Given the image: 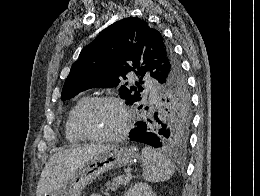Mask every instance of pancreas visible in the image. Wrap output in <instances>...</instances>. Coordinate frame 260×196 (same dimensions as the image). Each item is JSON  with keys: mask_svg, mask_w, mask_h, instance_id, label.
Listing matches in <instances>:
<instances>
[{"mask_svg": "<svg viewBox=\"0 0 260 196\" xmlns=\"http://www.w3.org/2000/svg\"><path fill=\"white\" fill-rule=\"evenodd\" d=\"M121 184H129V180H125V176H118V178H113L112 182H107L106 190H104L105 194H108L109 190L110 192H116L117 188H120Z\"/></svg>", "mask_w": 260, "mask_h": 196, "instance_id": "pancreas-1", "label": "pancreas"}]
</instances>
